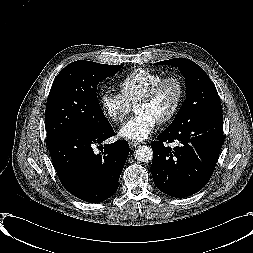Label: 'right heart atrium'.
<instances>
[{"mask_svg":"<svg viewBox=\"0 0 253 253\" xmlns=\"http://www.w3.org/2000/svg\"><path fill=\"white\" fill-rule=\"evenodd\" d=\"M99 104L106 118L114 123L123 122L131 107L120 93L115 92L102 93Z\"/></svg>","mask_w":253,"mask_h":253,"instance_id":"right-heart-atrium-1","label":"right heart atrium"}]
</instances>
